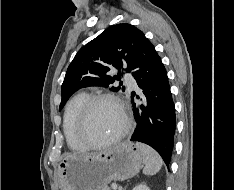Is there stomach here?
<instances>
[{
  "mask_svg": "<svg viewBox=\"0 0 234 190\" xmlns=\"http://www.w3.org/2000/svg\"><path fill=\"white\" fill-rule=\"evenodd\" d=\"M137 146L124 141L97 155L68 156L58 166L61 190H102L111 181L132 178L141 169Z\"/></svg>",
  "mask_w": 234,
  "mask_h": 190,
  "instance_id": "obj_1",
  "label": "stomach"
}]
</instances>
